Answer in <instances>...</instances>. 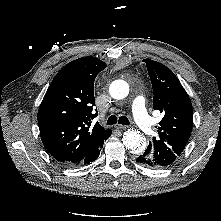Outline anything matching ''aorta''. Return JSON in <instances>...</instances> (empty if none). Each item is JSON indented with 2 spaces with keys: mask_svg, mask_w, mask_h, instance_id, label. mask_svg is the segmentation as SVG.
<instances>
[{
  "mask_svg": "<svg viewBox=\"0 0 221 221\" xmlns=\"http://www.w3.org/2000/svg\"><path fill=\"white\" fill-rule=\"evenodd\" d=\"M109 93L114 99H124L129 93V85L123 80H115L111 83ZM123 145L132 153H141L146 142L143 135L134 129H129L123 134Z\"/></svg>",
  "mask_w": 221,
  "mask_h": 221,
  "instance_id": "762f6f07",
  "label": "aorta"
}]
</instances>
